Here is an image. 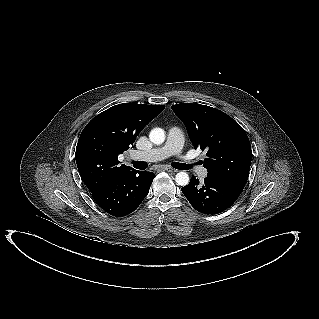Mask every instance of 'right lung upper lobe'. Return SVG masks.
Instances as JSON below:
<instances>
[{"label":"right lung upper lobe","instance_id":"cb5924a9","mask_svg":"<svg viewBox=\"0 0 319 319\" xmlns=\"http://www.w3.org/2000/svg\"><path fill=\"white\" fill-rule=\"evenodd\" d=\"M164 108V105L119 104L86 125L78 140L75 158L90 192L133 170L124 164L118 165V155L133 145L142 129Z\"/></svg>","mask_w":319,"mask_h":319}]
</instances>
